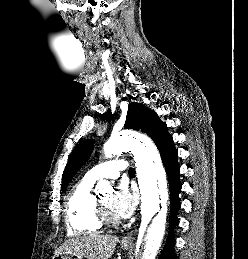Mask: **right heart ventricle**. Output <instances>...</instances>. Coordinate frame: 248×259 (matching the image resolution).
I'll use <instances>...</instances> for the list:
<instances>
[{
    "instance_id": "1",
    "label": "right heart ventricle",
    "mask_w": 248,
    "mask_h": 259,
    "mask_svg": "<svg viewBox=\"0 0 248 259\" xmlns=\"http://www.w3.org/2000/svg\"><path fill=\"white\" fill-rule=\"evenodd\" d=\"M95 181L84 177L70 192L65 209L67 231L71 235L97 233L102 224L97 216Z\"/></svg>"
}]
</instances>
